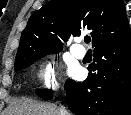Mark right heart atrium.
I'll use <instances>...</instances> for the list:
<instances>
[{
    "mask_svg": "<svg viewBox=\"0 0 131 115\" xmlns=\"http://www.w3.org/2000/svg\"><path fill=\"white\" fill-rule=\"evenodd\" d=\"M38 75L42 83L47 88H54L55 83V77H54V67L50 62L44 63L42 66L38 69Z\"/></svg>",
    "mask_w": 131,
    "mask_h": 115,
    "instance_id": "d8ad5b80",
    "label": "right heart atrium"
}]
</instances>
